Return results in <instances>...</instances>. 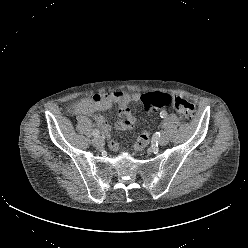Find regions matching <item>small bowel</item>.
I'll list each match as a JSON object with an SVG mask.
<instances>
[{
    "mask_svg": "<svg viewBox=\"0 0 248 248\" xmlns=\"http://www.w3.org/2000/svg\"><path fill=\"white\" fill-rule=\"evenodd\" d=\"M141 98L140 93H128L125 91L94 94L72 101L68 105V111L75 115L84 114L92 116L103 131L109 134L111 127L99 112L109 109L113 104H117L119 107L118 113L121 117V120L117 123V128L120 130H129L134 127L136 122L129 108V104L133 101H139ZM109 147L115 151L118 149V144L111 140ZM120 152L122 156L126 157L130 155L131 151L129 147L125 146L121 148Z\"/></svg>",
    "mask_w": 248,
    "mask_h": 248,
    "instance_id": "1",
    "label": "small bowel"
}]
</instances>
